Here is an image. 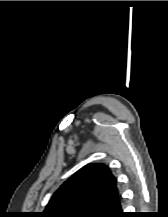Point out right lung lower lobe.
Segmentation results:
<instances>
[{"label":"right lung lower lobe","instance_id":"obj_1","mask_svg":"<svg viewBox=\"0 0 168 217\" xmlns=\"http://www.w3.org/2000/svg\"><path fill=\"white\" fill-rule=\"evenodd\" d=\"M129 216L130 215H128L127 213L122 212L121 208L117 212L110 215V217H129Z\"/></svg>","mask_w":168,"mask_h":217}]
</instances>
